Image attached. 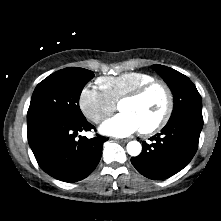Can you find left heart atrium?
I'll use <instances>...</instances> for the list:
<instances>
[{
    "mask_svg": "<svg viewBox=\"0 0 221 221\" xmlns=\"http://www.w3.org/2000/svg\"><path fill=\"white\" fill-rule=\"evenodd\" d=\"M141 129L139 121L129 113H119L102 124L100 130L104 134L125 137Z\"/></svg>",
    "mask_w": 221,
    "mask_h": 221,
    "instance_id": "39dd6f15",
    "label": "left heart atrium"
}]
</instances>
